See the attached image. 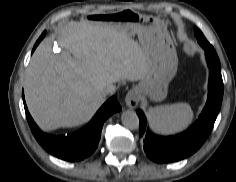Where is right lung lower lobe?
Segmentation results:
<instances>
[{
    "mask_svg": "<svg viewBox=\"0 0 236 182\" xmlns=\"http://www.w3.org/2000/svg\"><path fill=\"white\" fill-rule=\"evenodd\" d=\"M45 33L43 32L40 36L33 51L44 38ZM23 101L27 121L39 144L50 154L66 161H80L90 156L97 148L104 121L113 113L121 110L117 98L113 96L98 110L86 127L73 134L56 137L47 135L38 128L28 112L24 95Z\"/></svg>",
    "mask_w": 236,
    "mask_h": 182,
    "instance_id": "1",
    "label": "right lung lower lobe"
}]
</instances>
